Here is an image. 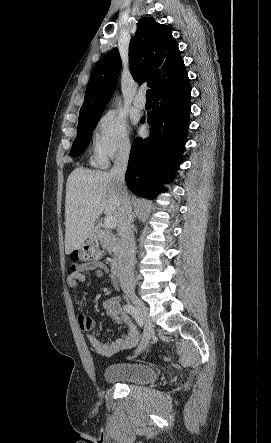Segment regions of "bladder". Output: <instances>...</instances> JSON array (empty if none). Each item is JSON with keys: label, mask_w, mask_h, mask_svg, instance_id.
<instances>
[{"label": "bladder", "mask_w": 271, "mask_h": 443, "mask_svg": "<svg viewBox=\"0 0 271 443\" xmlns=\"http://www.w3.org/2000/svg\"><path fill=\"white\" fill-rule=\"evenodd\" d=\"M103 378L108 383L148 384L157 378L156 370L143 363H115L103 371Z\"/></svg>", "instance_id": "31cf9c89"}]
</instances>
